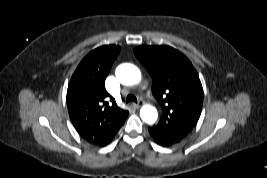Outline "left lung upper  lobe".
<instances>
[{"label":"left lung upper lobe","instance_id":"1","mask_svg":"<svg viewBox=\"0 0 267 178\" xmlns=\"http://www.w3.org/2000/svg\"><path fill=\"white\" fill-rule=\"evenodd\" d=\"M134 54L152 77V93L163 115L157 125L166 136L180 142L197 124L203 88L191 62L170 46H140Z\"/></svg>","mask_w":267,"mask_h":178}]
</instances>
